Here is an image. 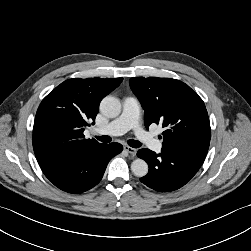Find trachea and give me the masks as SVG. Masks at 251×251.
I'll return each mask as SVG.
<instances>
[{"label":"trachea","mask_w":251,"mask_h":251,"mask_svg":"<svg viewBox=\"0 0 251 251\" xmlns=\"http://www.w3.org/2000/svg\"><path fill=\"white\" fill-rule=\"evenodd\" d=\"M96 138L103 143L111 142V137H109V136H96ZM128 144H129V146H131L133 148H139L142 145L141 142L134 140V139L128 140Z\"/></svg>","instance_id":"trachea-1"}]
</instances>
